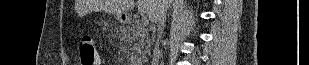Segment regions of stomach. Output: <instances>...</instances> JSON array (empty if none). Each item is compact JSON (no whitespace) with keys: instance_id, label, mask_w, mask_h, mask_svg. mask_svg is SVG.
I'll list each match as a JSON object with an SVG mask.
<instances>
[{"instance_id":"obj_1","label":"stomach","mask_w":309,"mask_h":65,"mask_svg":"<svg viewBox=\"0 0 309 65\" xmlns=\"http://www.w3.org/2000/svg\"><path fill=\"white\" fill-rule=\"evenodd\" d=\"M117 20L118 22H120L121 24H125L126 23V18L123 14L121 15H117Z\"/></svg>"}]
</instances>
